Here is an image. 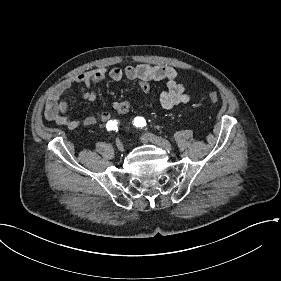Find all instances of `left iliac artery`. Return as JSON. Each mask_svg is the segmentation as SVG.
Returning a JSON list of instances; mask_svg holds the SVG:
<instances>
[{"instance_id":"44dca946","label":"left iliac artery","mask_w":281,"mask_h":281,"mask_svg":"<svg viewBox=\"0 0 281 281\" xmlns=\"http://www.w3.org/2000/svg\"><path fill=\"white\" fill-rule=\"evenodd\" d=\"M133 122L134 125L139 128L146 126V121L143 117H135Z\"/></svg>"}]
</instances>
